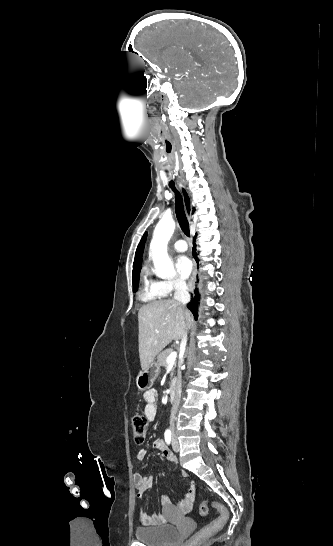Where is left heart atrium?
I'll return each mask as SVG.
<instances>
[{"label": "left heart atrium", "mask_w": 333, "mask_h": 546, "mask_svg": "<svg viewBox=\"0 0 333 546\" xmlns=\"http://www.w3.org/2000/svg\"><path fill=\"white\" fill-rule=\"evenodd\" d=\"M176 269L181 277L186 278L192 271V262L187 256H179L176 259Z\"/></svg>", "instance_id": "obj_1"}]
</instances>
